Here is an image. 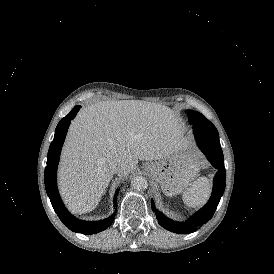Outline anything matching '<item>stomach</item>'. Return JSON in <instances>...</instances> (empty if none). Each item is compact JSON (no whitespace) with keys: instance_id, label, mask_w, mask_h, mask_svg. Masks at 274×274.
<instances>
[{"instance_id":"0dacf381","label":"stomach","mask_w":274,"mask_h":274,"mask_svg":"<svg viewBox=\"0 0 274 274\" xmlns=\"http://www.w3.org/2000/svg\"><path fill=\"white\" fill-rule=\"evenodd\" d=\"M147 175L158 184L163 193L173 196L181 193L196 177L199 171L197 153L190 143L183 139L167 156L148 163Z\"/></svg>"}]
</instances>
